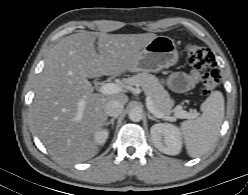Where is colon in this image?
<instances>
[{"instance_id":"5ec220e1","label":"colon","mask_w":248,"mask_h":195,"mask_svg":"<svg viewBox=\"0 0 248 195\" xmlns=\"http://www.w3.org/2000/svg\"><path fill=\"white\" fill-rule=\"evenodd\" d=\"M185 53L188 64L202 72V93L211 94L220 83V73L216 68L214 54L207 48L189 43L185 46Z\"/></svg>"}]
</instances>
